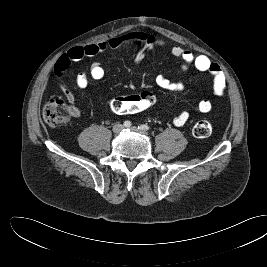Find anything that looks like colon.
<instances>
[{"instance_id":"5ec220e1","label":"colon","mask_w":267,"mask_h":267,"mask_svg":"<svg viewBox=\"0 0 267 267\" xmlns=\"http://www.w3.org/2000/svg\"><path fill=\"white\" fill-rule=\"evenodd\" d=\"M155 101L156 98L152 92L144 91L136 95L115 97L110 104L115 113L136 114L151 108ZM71 115V108L58 98H52L43 109L44 120L51 126L67 123ZM192 132L197 138L208 137L212 133V125L207 120H200L195 123Z\"/></svg>"}]
</instances>
